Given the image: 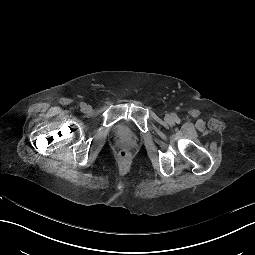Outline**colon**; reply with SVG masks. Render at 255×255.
<instances>
[{
    "instance_id": "1",
    "label": "colon",
    "mask_w": 255,
    "mask_h": 255,
    "mask_svg": "<svg viewBox=\"0 0 255 255\" xmlns=\"http://www.w3.org/2000/svg\"><path fill=\"white\" fill-rule=\"evenodd\" d=\"M120 157L122 158V159H125L126 157H127V153L126 152H121L120 153Z\"/></svg>"
}]
</instances>
